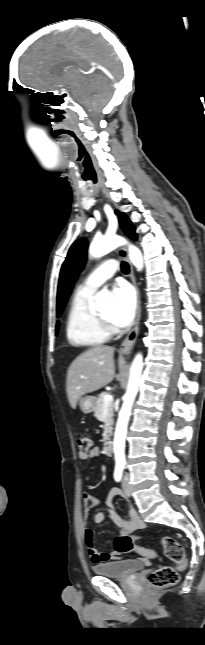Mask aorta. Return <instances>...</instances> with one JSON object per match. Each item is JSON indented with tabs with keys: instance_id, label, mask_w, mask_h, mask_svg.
<instances>
[{
	"instance_id": "aorta-1",
	"label": "aorta",
	"mask_w": 205,
	"mask_h": 645,
	"mask_svg": "<svg viewBox=\"0 0 205 645\" xmlns=\"http://www.w3.org/2000/svg\"><path fill=\"white\" fill-rule=\"evenodd\" d=\"M125 240L119 236H105L103 238L95 239L89 248L90 254L99 258L111 252L119 245L124 244ZM129 258L133 265L141 270L143 267V258L140 250L129 245ZM97 308H104L106 302L109 301V293L107 291H100L97 296ZM143 369V358L138 354L131 366L129 383L127 391L123 397V405L119 412V417L116 425L113 441V451L117 464H125V439L127 434V425L131 414V408L138 392L139 381Z\"/></svg>"
}]
</instances>
